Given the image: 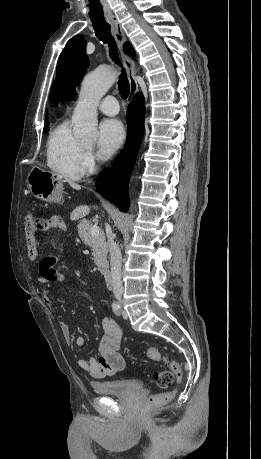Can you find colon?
Returning a JSON list of instances; mask_svg holds the SVG:
<instances>
[{"label": "colon", "mask_w": 261, "mask_h": 459, "mask_svg": "<svg viewBox=\"0 0 261 459\" xmlns=\"http://www.w3.org/2000/svg\"><path fill=\"white\" fill-rule=\"evenodd\" d=\"M24 224L19 228V235L25 236L26 250L29 252V259L31 261H38L44 258V255L39 252L38 242L39 228L41 223L34 220L32 216H25L23 219ZM147 355L151 360H166L170 364V370L155 372L153 380L160 388H169L175 380L180 381L182 378V370L180 365L175 361H169L157 348H149ZM174 396L173 392L161 393L152 395L148 399V405L154 407L169 401Z\"/></svg>", "instance_id": "obj_1"}]
</instances>
